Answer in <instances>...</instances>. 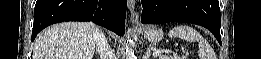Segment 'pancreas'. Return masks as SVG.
Wrapping results in <instances>:
<instances>
[{
	"mask_svg": "<svg viewBox=\"0 0 261 59\" xmlns=\"http://www.w3.org/2000/svg\"><path fill=\"white\" fill-rule=\"evenodd\" d=\"M158 59H177V57H169L167 55H160Z\"/></svg>",
	"mask_w": 261,
	"mask_h": 59,
	"instance_id": "pancreas-1",
	"label": "pancreas"
}]
</instances>
